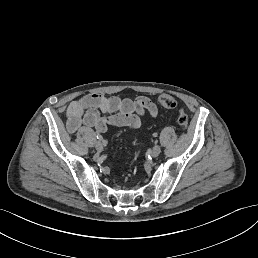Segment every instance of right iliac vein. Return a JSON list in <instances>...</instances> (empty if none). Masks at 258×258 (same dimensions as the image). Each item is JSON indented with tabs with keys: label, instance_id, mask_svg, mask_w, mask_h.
Masks as SVG:
<instances>
[{
	"label": "right iliac vein",
	"instance_id": "63e3f726",
	"mask_svg": "<svg viewBox=\"0 0 258 258\" xmlns=\"http://www.w3.org/2000/svg\"><path fill=\"white\" fill-rule=\"evenodd\" d=\"M103 144L101 141H96L95 144H94V147L99 151V152H102L104 149H103Z\"/></svg>",
	"mask_w": 258,
	"mask_h": 258
}]
</instances>
